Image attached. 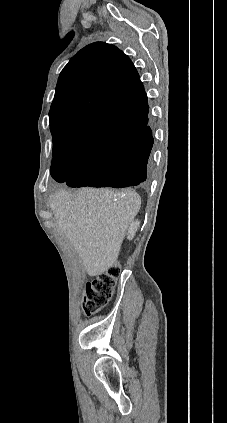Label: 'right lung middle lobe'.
I'll list each match as a JSON object with an SVG mask.
<instances>
[{"label": "right lung middle lobe", "instance_id": "right-lung-middle-lobe-1", "mask_svg": "<svg viewBox=\"0 0 227 423\" xmlns=\"http://www.w3.org/2000/svg\"><path fill=\"white\" fill-rule=\"evenodd\" d=\"M87 154L74 151L62 145L53 143V161H68L72 167L71 173L76 170Z\"/></svg>", "mask_w": 227, "mask_h": 423}]
</instances>
